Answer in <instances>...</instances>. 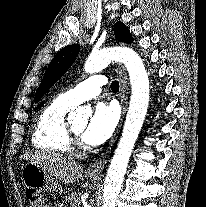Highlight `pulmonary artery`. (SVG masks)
<instances>
[{"label": "pulmonary artery", "mask_w": 206, "mask_h": 207, "mask_svg": "<svg viewBox=\"0 0 206 207\" xmlns=\"http://www.w3.org/2000/svg\"><path fill=\"white\" fill-rule=\"evenodd\" d=\"M106 83L107 78L104 75H94L66 91L62 96L70 104L76 106L83 101L97 97L101 93V87Z\"/></svg>", "instance_id": "pulmonary-artery-1"}]
</instances>
